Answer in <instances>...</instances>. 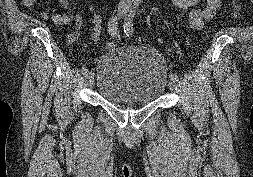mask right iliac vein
Wrapping results in <instances>:
<instances>
[{
	"label": "right iliac vein",
	"mask_w": 253,
	"mask_h": 177,
	"mask_svg": "<svg viewBox=\"0 0 253 177\" xmlns=\"http://www.w3.org/2000/svg\"><path fill=\"white\" fill-rule=\"evenodd\" d=\"M119 14H120V15H123V14H124V10H123V9H120V10H119ZM94 84H95V77H94V75H91V76L88 78V86H89L90 88H92V87L94 86Z\"/></svg>",
	"instance_id": "right-iliac-vein-1"
}]
</instances>
